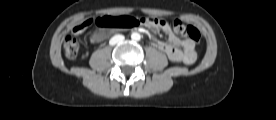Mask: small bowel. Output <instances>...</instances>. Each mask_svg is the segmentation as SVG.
<instances>
[{
  "mask_svg": "<svg viewBox=\"0 0 276 120\" xmlns=\"http://www.w3.org/2000/svg\"><path fill=\"white\" fill-rule=\"evenodd\" d=\"M146 25L154 31H162L167 35L168 41H157L154 45L162 51L170 61L186 65L194 63L196 54L194 51V43L191 40L178 38L173 33L169 24L164 20L161 25ZM83 31L78 30L77 26L72 30L73 33H81ZM105 37L106 34L104 32L96 31L91 35L90 39L92 43L98 44L102 42Z\"/></svg>",
  "mask_w": 276,
  "mask_h": 120,
  "instance_id": "1",
  "label": "small bowel"
}]
</instances>
